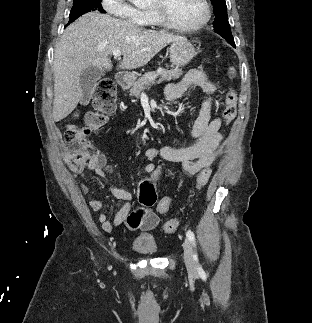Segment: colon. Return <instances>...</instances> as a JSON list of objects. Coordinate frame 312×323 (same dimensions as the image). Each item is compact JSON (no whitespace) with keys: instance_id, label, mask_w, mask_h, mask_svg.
<instances>
[{"instance_id":"1","label":"colon","mask_w":312,"mask_h":323,"mask_svg":"<svg viewBox=\"0 0 312 323\" xmlns=\"http://www.w3.org/2000/svg\"><path fill=\"white\" fill-rule=\"evenodd\" d=\"M238 96L233 88H229L225 96L224 119L226 123H231L237 111ZM94 111L87 113V124L76 126L69 124L63 134L64 147L66 148V166L72 172H79L84 165L91 160L96 150L92 143L88 140V136L92 133L94 128H98L105 124L107 115L111 113L117 103L116 86L114 81L109 77H102L98 79L94 97ZM162 170L157 168L152 172V179H159ZM211 176V169L205 168L199 175L197 185L204 186ZM140 187L137 188L136 193L139 195V201L145 206H154L157 201L156 188L150 182L149 177H140ZM172 204L168 199L164 202H158L157 213H169ZM179 227V220L174 219L165 223L163 231L167 234H173Z\"/></svg>"}]
</instances>
